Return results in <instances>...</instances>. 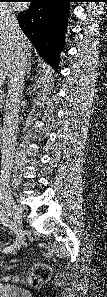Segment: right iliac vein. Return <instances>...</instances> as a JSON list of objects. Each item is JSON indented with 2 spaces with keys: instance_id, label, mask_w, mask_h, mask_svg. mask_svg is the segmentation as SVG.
I'll use <instances>...</instances> for the list:
<instances>
[{
  "instance_id": "right-iliac-vein-1",
  "label": "right iliac vein",
  "mask_w": 107,
  "mask_h": 297,
  "mask_svg": "<svg viewBox=\"0 0 107 297\" xmlns=\"http://www.w3.org/2000/svg\"><path fill=\"white\" fill-rule=\"evenodd\" d=\"M7 201H8V209L15 223L18 224V226H21L23 224V214L21 209L19 208V206L16 204V202L11 196L7 197ZM23 242H24V233H22L20 236L16 238V241L12 245V252L19 249L23 244Z\"/></svg>"
}]
</instances>
